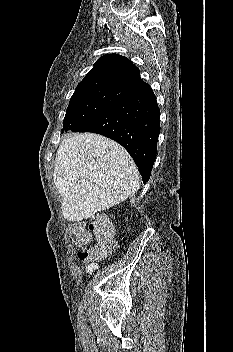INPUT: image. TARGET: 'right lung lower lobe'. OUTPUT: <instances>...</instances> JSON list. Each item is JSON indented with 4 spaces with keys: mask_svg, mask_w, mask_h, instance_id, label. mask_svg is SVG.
<instances>
[{
    "mask_svg": "<svg viewBox=\"0 0 233 352\" xmlns=\"http://www.w3.org/2000/svg\"><path fill=\"white\" fill-rule=\"evenodd\" d=\"M159 119L156 96L148 87L110 106L72 131L101 134L121 144L133 158L146 184L156 159Z\"/></svg>",
    "mask_w": 233,
    "mask_h": 352,
    "instance_id": "98d812e1",
    "label": "right lung lower lobe"
}]
</instances>
